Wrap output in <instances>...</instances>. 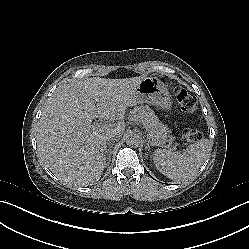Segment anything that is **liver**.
Segmentation results:
<instances>
[{"label": "liver", "mask_w": 249, "mask_h": 249, "mask_svg": "<svg viewBox=\"0 0 249 249\" xmlns=\"http://www.w3.org/2000/svg\"><path fill=\"white\" fill-rule=\"evenodd\" d=\"M140 81L89 79L59 90L38 123L42 161L55 172L74 174L80 183L99 180L105 168L103 138L113 132L122 135L124 115ZM96 117L109 124H92Z\"/></svg>", "instance_id": "6515ba94"}]
</instances>
